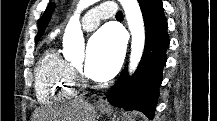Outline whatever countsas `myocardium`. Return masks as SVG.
I'll use <instances>...</instances> for the list:
<instances>
[{"label": "myocardium", "instance_id": "1", "mask_svg": "<svg viewBox=\"0 0 217 121\" xmlns=\"http://www.w3.org/2000/svg\"><path fill=\"white\" fill-rule=\"evenodd\" d=\"M72 70H73L74 81L82 87H87L89 84V80L85 75V73L83 72V70L77 68L76 66H73Z\"/></svg>", "mask_w": 217, "mask_h": 121}]
</instances>
